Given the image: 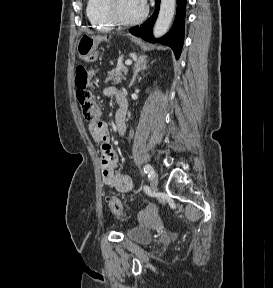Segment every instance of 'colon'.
I'll return each instance as SVG.
<instances>
[{"instance_id":"5ec220e1","label":"colon","mask_w":273,"mask_h":288,"mask_svg":"<svg viewBox=\"0 0 273 288\" xmlns=\"http://www.w3.org/2000/svg\"><path fill=\"white\" fill-rule=\"evenodd\" d=\"M78 55L80 59L86 62L94 61L96 51L93 39L84 36L78 43ZM90 72L83 66H78L75 70L76 98L80 105L82 115L88 122H96L100 117V109L94 101L93 95L89 90ZM110 211L117 217L125 216L121 201L114 195L106 198Z\"/></svg>"}]
</instances>
